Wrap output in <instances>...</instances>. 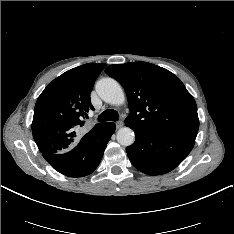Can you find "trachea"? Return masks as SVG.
Returning <instances> with one entry per match:
<instances>
[{"mask_svg": "<svg viewBox=\"0 0 234 234\" xmlns=\"http://www.w3.org/2000/svg\"><path fill=\"white\" fill-rule=\"evenodd\" d=\"M99 121H118L119 120V114L115 110H105L101 113V115L98 117Z\"/></svg>", "mask_w": 234, "mask_h": 234, "instance_id": "trachea-1", "label": "trachea"}]
</instances>
